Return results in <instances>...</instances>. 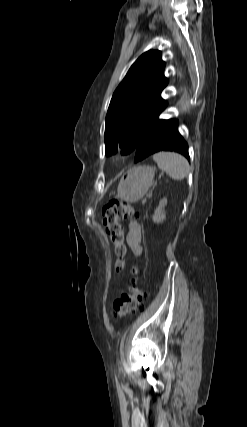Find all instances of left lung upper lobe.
I'll return each mask as SVG.
<instances>
[{
	"mask_svg": "<svg viewBox=\"0 0 247 427\" xmlns=\"http://www.w3.org/2000/svg\"><path fill=\"white\" fill-rule=\"evenodd\" d=\"M161 52L142 54L115 90L106 116L105 153L112 155L118 146L123 154L137 149L150 125L166 108L161 92L168 81Z\"/></svg>",
	"mask_w": 247,
	"mask_h": 427,
	"instance_id": "left-lung-upper-lobe-1",
	"label": "left lung upper lobe"
}]
</instances>
